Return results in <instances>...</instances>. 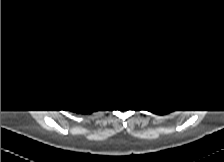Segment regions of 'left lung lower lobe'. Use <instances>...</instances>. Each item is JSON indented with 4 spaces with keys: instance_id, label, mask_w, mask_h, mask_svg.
Instances as JSON below:
<instances>
[{
    "instance_id": "1",
    "label": "left lung lower lobe",
    "mask_w": 224,
    "mask_h": 162,
    "mask_svg": "<svg viewBox=\"0 0 224 162\" xmlns=\"http://www.w3.org/2000/svg\"><path fill=\"white\" fill-rule=\"evenodd\" d=\"M181 105H182L181 100H174V101H170V102L166 103L164 106H162L160 108H153V107H149V106H146V108L148 111H151V112H155L158 114H166L168 112L177 110Z\"/></svg>"
}]
</instances>
